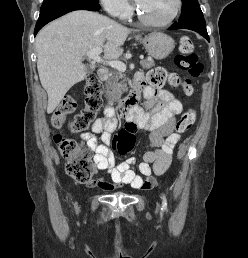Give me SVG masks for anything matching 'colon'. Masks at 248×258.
<instances>
[{
    "label": "colon",
    "mask_w": 248,
    "mask_h": 258,
    "mask_svg": "<svg viewBox=\"0 0 248 258\" xmlns=\"http://www.w3.org/2000/svg\"><path fill=\"white\" fill-rule=\"evenodd\" d=\"M180 53L175 57V64L178 68L185 70L191 77H199L202 73V65L197 55L193 53L194 43L188 36H183L179 40ZM147 80L150 85L162 87L166 83L172 87H180L182 92L190 96L194 92V87L189 79L180 80L176 75L169 74L163 68H155L149 71ZM102 82L95 76L91 75L87 78L84 93L85 106L83 110L75 116L70 122L69 128L72 132H83L89 124L95 119L98 110L102 105ZM76 102L72 97L64 98L58 105L51 117V123L55 128H61L66 116L73 112ZM196 120L194 110H187L177 121L175 131L177 133H185L189 131ZM133 136L123 127L114 137V147L125 155L131 154L133 148ZM54 142L62 157L67 160L66 171L74 180L79 183H90L93 181V166L89 156L81 150L78 142L74 139L67 138L61 134L54 136Z\"/></svg>",
    "instance_id": "1"
}]
</instances>
